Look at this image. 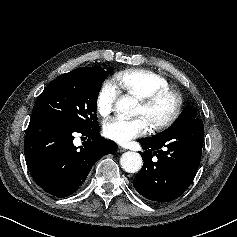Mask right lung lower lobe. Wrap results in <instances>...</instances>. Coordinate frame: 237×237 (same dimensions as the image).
Segmentation results:
<instances>
[{
  "label": "right lung lower lobe",
  "mask_w": 237,
  "mask_h": 237,
  "mask_svg": "<svg viewBox=\"0 0 237 237\" xmlns=\"http://www.w3.org/2000/svg\"><path fill=\"white\" fill-rule=\"evenodd\" d=\"M99 131V124L77 129L60 122L31 118L24 153L34 181L59 198L78 190L96 161L117 151L116 143L101 137ZM76 133L88 137L82 146L73 144Z\"/></svg>",
  "instance_id": "right-lung-lower-lobe-1"
}]
</instances>
